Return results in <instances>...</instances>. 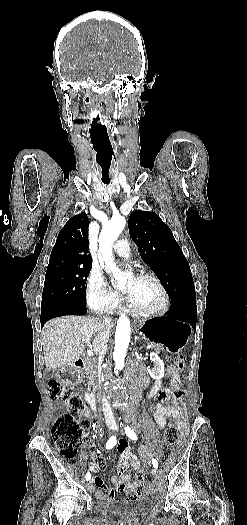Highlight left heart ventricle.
<instances>
[{
    "mask_svg": "<svg viewBox=\"0 0 247 525\" xmlns=\"http://www.w3.org/2000/svg\"><path fill=\"white\" fill-rule=\"evenodd\" d=\"M121 266L129 271L131 264L128 260H122ZM126 290L135 287L133 298L139 300L148 307L156 308L163 303V294L156 283L150 278H133L127 280ZM125 286V285H124Z\"/></svg>",
    "mask_w": 247,
    "mask_h": 525,
    "instance_id": "1",
    "label": "left heart ventricle"
}]
</instances>
